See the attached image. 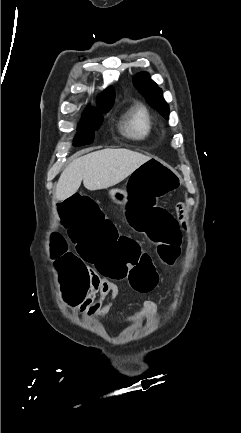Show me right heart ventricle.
Here are the masks:
<instances>
[{"label":"right heart ventricle","mask_w":241,"mask_h":433,"mask_svg":"<svg viewBox=\"0 0 241 433\" xmlns=\"http://www.w3.org/2000/svg\"><path fill=\"white\" fill-rule=\"evenodd\" d=\"M123 128L131 138L146 139L153 129L149 111L142 105L133 106L125 115Z\"/></svg>","instance_id":"obj_1"}]
</instances>
